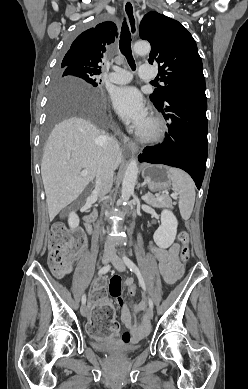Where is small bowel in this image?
<instances>
[{"label": "small bowel", "mask_w": 248, "mask_h": 389, "mask_svg": "<svg viewBox=\"0 0 248 389\" xmlns=\"http://www.w3.org/2000/svg\"><path fill=\"white\" fill-rule=\"evenodd\" d=\"M151 251L158 263L160 275L164 282L173 284L181 278L183 270L177 262V256L180 251L178 244H173L168 249H163L151 246ZM129 284H135L132 277L126 278L121 282L118 272H113L110 277V285L106 286V291L110 292L111 297L117 302L121 309V321L125 325V330L122 334V341L124 343L137 342L148 333V324L144 318L138 322L136 320L135 312L142 311L146 308V302L143 300L138 305H135L131 310L121 297L122 285L126 288ZM129 290V288H128ZM117 330V329H112ZM125 339V341L123 340Z\"/></svg>", "instance_id": "obj_1"}]
</instances>
